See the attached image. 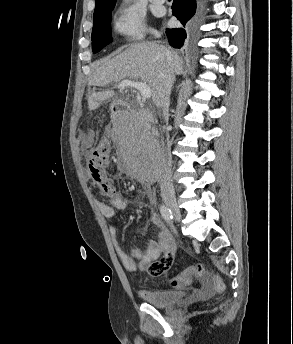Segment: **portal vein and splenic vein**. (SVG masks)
Wrapping results in <instances>:
<instances>
[{
	"instance_id": "portal-vein-and-splenic-vein-1",
	"label": "portal vein and splenic vein",
	"mask_w": 293,
	"mask_h": 344,
	"mask_svg": "<svg viewBox=\"0 0 293 344\" xmlns=\"http://www.w3.org/2000/svg\"><path fill=\"white\" fill-rule=\"evenodd\" d=\"M120 86L121 87H132V88L137 89L140 92L143 99H149L151 97L150 87L143 82L125 79V80H122L120 82Z\"/></svg>"
}]
</instances>
